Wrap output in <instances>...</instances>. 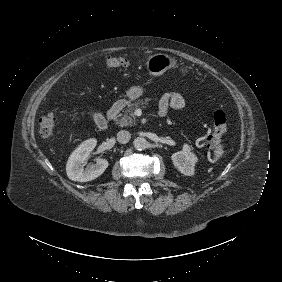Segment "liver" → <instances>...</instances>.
<instances>
[{
	"label": "liver",
	"mask_w": 282,
	"mask_h": 282,
	"mask_svg": "<svg viewBox=\"0 0 282 282\" xmlns=\"http://www.w3.org/2000/svg\"><path fill=\"white\" fill-rule=\"evenodd\" d=\"M82 134H83L82 131H76L74 134L70 135V141L77 139ZM47 141L50 142L51 141V137H48Z\"/></svg>",
	"instance_id": "6515ba94"
}]
</instances>
